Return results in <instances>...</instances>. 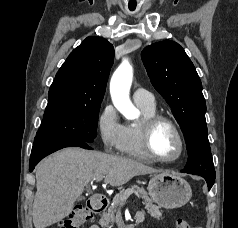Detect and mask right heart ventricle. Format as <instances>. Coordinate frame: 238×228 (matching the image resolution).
<instances>
[{"label": "right heart ventricle", "instance_id": "e07e8e85", "mask_svg": "<svg viewBox=\"0 0 238 228\" xmlns=\"http://www.w3.org/2000/svg\"><path fill=\"white\" fill-rule=\"evenodd\" d=\"M137 106L142 113V118L156 114L155 105L147 107L137 104ZM140 121L135 124H126L124 126L119 151L129 157L145 161H152V159L146 154L142 145Z\"/></svg>", "mask_w": 238, "mask_h": 228}]
</instances>
